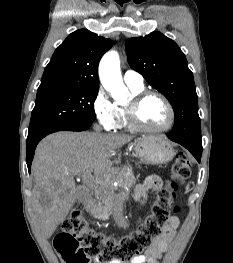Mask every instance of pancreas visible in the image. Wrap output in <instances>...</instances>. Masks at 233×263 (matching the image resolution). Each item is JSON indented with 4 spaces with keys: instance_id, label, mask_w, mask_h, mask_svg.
I'll list each match as a JSON object with an SVG mask.
<instances>
[{
    "instance_id": "pancreas-1",
    "label": "pancreas",
    "mask_w": 233,
    "mask_h": 263,
    "mask_svg": "<svg viewBox=\"0 0 233 263\" xmlns=\"http://www.w3.org/2000/svg\"><path fill=\"white\" fill-rule=\"evenodd\" d=\"M116 181L119 183L118 188L123 190L116 193L118 188H113L111 191H105L99 188L97 193V204L91 208V215L99 220H108L114 209L121 203V201L128 196L127 190L132 187L136 178L129 171H121L118 173Z\"/></svg>"
}]
</instances>
